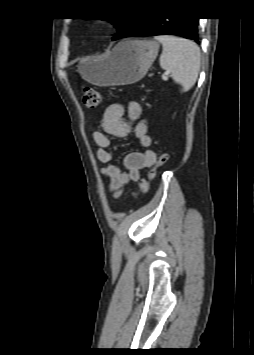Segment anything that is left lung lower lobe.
<instances>
[{
	"mask_svg": "<svg viewBox=\"0 0 254 355\" xmlns=\"http://www.w3.org/2000/svg\"><path fill=\"white\" fill-rule=\"evenodd\" d=\"M199 18H137L133 27L123 37L178 35L199 43Z\"/></svg>",
	"mask_w": 254,
	"mask_h": 355,
	"instance_id": "left-lung-lower-lobe-1",
	"label": "left lung lower lobe"
}]
</instances>
